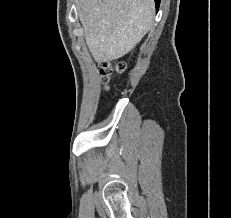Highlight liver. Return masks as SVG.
I'll return each mask as SVG.
<instances>
[{
	"instance_id": "1",
	"label": "liver",
	"mask_w": 231,
	"mask_h": 218,
	"mask_svg": "<svg viewBox=\"0 0 231 218\" xmlns=\"http://www.w3.org/2000/svg\"><path fill=\"white\" fill-rule=\"evenodd\" d=\"M86 44L97 62L129 53L150 30L153 0H76Z\"/></svg>"
}]
</instances>
